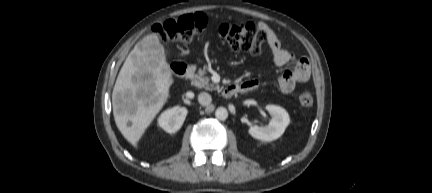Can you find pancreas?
Listing matches in <instances>:
<instances>
[{"label":"pancreas","mask_w":432,"mask_h":193,"mask_svg":"<svg viewBox=\"0 0 432 193\" xmlns=\"http://www.w3.org/2000/svg\"><path fill=\"white\" fill-rule=\"evenodd\" d=\"M205 74L206 71L200 69L198 71V74L194 75L192 84L198 88H204L205 90H214V89L218 90L219 86L210 83L209 78L206 77Z\"/></svg>","instance_id":"obj_1"}]
</instances>
